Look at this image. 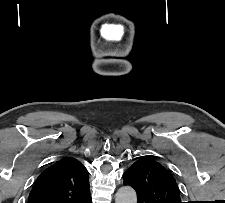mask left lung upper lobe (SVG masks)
I'll return each mask as SVG.
<instances>
[{"label": "left lung upper lobe", "instance_id": "1", "mask_svg": "<svg viewBox=\"0 0 225 203\" xmlns=\"http://www.w3.org/2000/svg\"><path fill=\"white\" fill-rule=\"evenodd\" d=\"M124 185L137 192L138 203H182L171 172L159 162L140 158L123 174Z\"/></svg>", "mask_w": 225, "mask_h": 203}]
</instances>
